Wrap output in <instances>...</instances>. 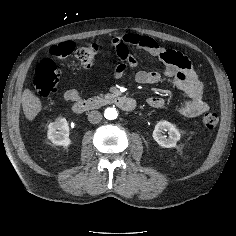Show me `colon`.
Wrapping results in <instances>:
<instances>
[{
	"label": "colon",
	"instance_id": "1",
	"mask_svg": "<svg viewBox=\"0 0 236 236\" xmlns=\"http://www.w3.org/2000/svg\"><path fill=\"white\" fill-rule=\"evenodd\" d=\"M75 51L73 42L67 41L53 45L49 49L50 55L55 59H64ZM98 53V46L89 44L79 47L76 57L83 66H90ZM60 82V74L51 59L42 60L36 67L34 89L39 96H49L57 91ZM219 118L214 112H207L202 118L203 125L208 129L217 126Z\"/></svg>",
	"mask_w": 236,
	"mask_h": 236
}]
</instances>
